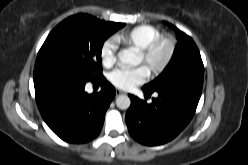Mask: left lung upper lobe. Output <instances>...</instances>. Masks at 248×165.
Wrapping results in <instances>:
<instances>
[{
	"mask_svg": "<svg viewBox=\"0 0 248 165\" xmlns=\"http://www.w3.org/2000/svg\"><path fill=\"white\" fill-rule=\"evenodd\" d=\"M166 24L175 31L178 44L167 67L155 80L144 85L142 89L153 92L167 86L202 87L204 66L195 42L172 24L167 22Z\"/></svg>",
	"mask_w": 248,
	"mask_h": 165,
	"instance_id": "left-lung-upper-lobe-1",
	"label": "left lung upper lobe"
}]
</instances>
